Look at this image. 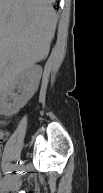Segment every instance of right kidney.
<instances>
[{
    "label": "right kidney",
    "mask_w": 103,
    "mask_h": 193,
    "mask_svg": "<svg viewBox=\"0 0 103 193\" xmlns=\"http://www.w3.org/2000/svg\"><path fill=\"white\" fill-rule=\"evenodd\" d=\"M42 75L40 66H32L19 75L11 78L7 83L0 85V110L5 116H13L25 106L28 100L34 95L39 86ZM16 88L21 89L20 95L14 93ZM9 99L12 102H9Z\"/></svg>",
    "instance_id": "1"
}]
</instances>
